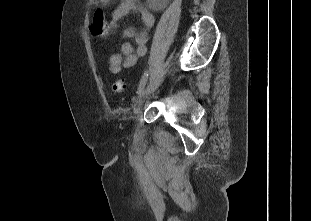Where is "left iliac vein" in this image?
Wrapping results in <instances>:
<instances>
[{"label": "left iliac vein", "mask_w": 311, "mask_h": 221, "mask_svg": "<svg viewBox=\"0 0 311 221\" xmlns=\"http://www.w3.org/2000/svg\"><path fill=\"white\" fill-rule=\"evenodd\" d=\"M153 86L154 84L151 83L149 84L145 89H143L138 97L136 98V100L134 101V104H133V111L135 113V115H139L140 112H141V109H142V106L145 102V100L147 99L148 95L150 94V92L152 91L153 89Z\"/></svg>", "instance_id": "4c4485c4"}]
</instances>
